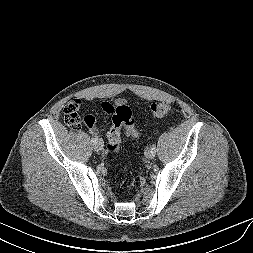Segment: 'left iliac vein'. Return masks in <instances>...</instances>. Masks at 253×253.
Returning a JSON list of instances; mask_svg holds the SVG:
<instances>
[{
	"mask_svg": "<svg viewBox=\"0 0 253 253\" xmlns=\"http://www.w3.org/2000/svg\"><path fill=\"white\" fill-rule=\"evenodd\" d=\"M155 154H156V152L151 149H148L145 151V157L147 159H153L155 157Z\"/></svg>",
	"mask_w": 253,
	"mask_h": 253,
	"instance_id": "4c4485c4",
	"label": "left iliac vein"
}]
</instances>
